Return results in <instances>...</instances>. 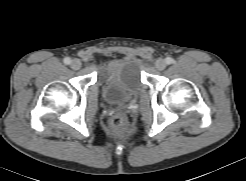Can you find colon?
I'll use <instances>...</instances> for the list:
<instances>
[{
    "mask_svg": "<svg viewBox=\"0 0 246 181\" xmlns=\"http://www.w3.org/2000/svg\"><path fill=\"white\" fill-rule=\"evenodd\" d=\"M110 127L116 134L122 135L128 130L129 123L123 114H116L110 119Z\"/></svg>",
    "mask_w": 246,
    "mask_h": 181,
    "instance_id": "5ec220e1",
    "label": "colon"
}]
</instances>
